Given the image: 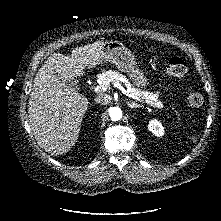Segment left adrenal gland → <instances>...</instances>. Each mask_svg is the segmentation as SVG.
Here are the masks:
<instances>
[{
  "label": "left adrenal gland",
  "mask_w": 221,
  "mask_h": 221,
  "mask_svg": "<svg viewBox=\"0 0 221 221\" xmlns=\"http://www.w3.org/2000/svg\"><path fill=\"white\" fill-rule=\"evenodd\" d=\"M128 106L130 108H139V107H141L140 105H138L137 103H134V102H132V103L128 102Z\"/></svg>",
  "instance_id": "a2214340"
}]
</instances>
